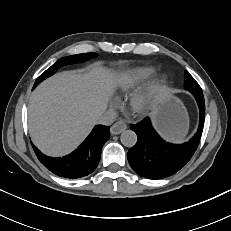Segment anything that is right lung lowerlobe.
<instances>
[{
    "label": "right lung lower lobe",
    "mask_w": 231,
    "mask_h": 231,
    "mask_svg": "<svg viewBox=\"0 0 231 231\" xmlns=\"http://www.w3.org/2000/svg\"><path fill=\"white\" fill-rule=\"evenodd\" d=\"M109 137V126L97 125L78 149L62 158L48 157L32 146L39 161L51 172L63 178L76 179L96 169L102 147Z\"/></svg>",
    "instance_id": "1"
}]
</instances>
